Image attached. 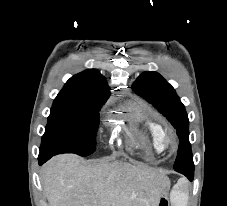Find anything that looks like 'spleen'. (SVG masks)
I'll return each mask as SVG.
<instances>
[{
	"instance_id": "3e777b00",
	"label": "spleen",
	"mask_w": 227,
	"mask_h": 206,
	"mask_svg": "<svg viewBox=\"0 0 227 206\" xmlns=\"http://www.w3.org/2000/svg\"><path fill=\"white\" fill-rule=\"evenodd\" d=\"M188 196L184 189L180 187H175L171 193V201L173 206H186L187 205Z\"/></svg>"
}]
</instances>
